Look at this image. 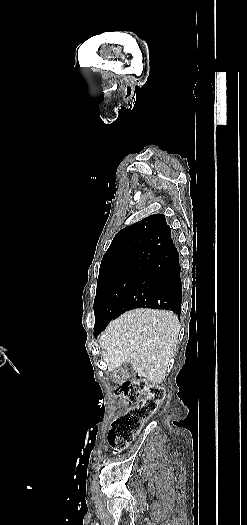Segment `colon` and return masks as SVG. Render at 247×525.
I'll return each instance as SVG.
<instances>
[{
    "label": "colon",
    "mask_w": 247,
    "mask_h": 525,
    "mask_svg": "<svg viewBox=\"0 0 247 525\" xmlns=\"http://www.w3.org/2000/svg\"><path fill=\"white\" fill-rule=\"evenodd\" d=\"M115 397L126 404L138 402L112 423L108 442L112 452L119 454L131 442L142 424L157 411L165 397V390L147 381L125 379L116 386Z\"/></svg>",
    "instance_id": "5ec220e1"
}]
</instances>
